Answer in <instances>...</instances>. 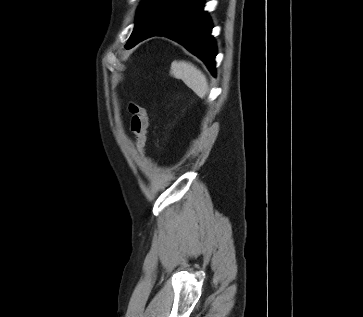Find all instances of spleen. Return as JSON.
<instances>
[{
	"label": "spleen",
	"mask_w": 363,
	"mask_h": 317,
	"mask_svg": "<svg viewBox=\"0 0 363 317\" xmlns=\"http://www.w3.org/2000/svg\"><path fill=\"white\" fill-rule=\"evenodd\" d=\"M171 74L181 79L200 98H204L208 92L206 76L192 63L185 61H174L171 64Z\"/></svg>",
	"instance_id": "1"
}]
</instances>
